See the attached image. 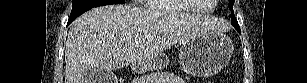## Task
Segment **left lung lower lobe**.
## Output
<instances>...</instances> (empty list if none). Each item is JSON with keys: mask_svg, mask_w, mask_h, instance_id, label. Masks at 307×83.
Listing matches in <instances>:
<instances>
[{"mask_svg": "<svg viewBox=\"0 0 307 83\" xmlns=\"http://www.w3.org/2000/svg\"><path fill=\"white\" fill-rule=\"evenodd\" d=\"M238 32H240V29H236Z\"/></svg>", "mask_w": 307, "mask_h": 83, "instance_id": "1", "label": "left lung lower lobe"}]
</instances>
